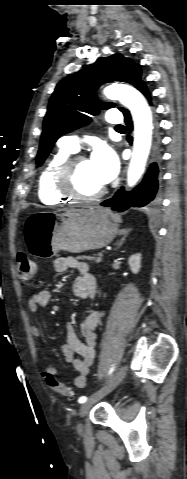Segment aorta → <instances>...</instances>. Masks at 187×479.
<instances>
[{
	"mask_svg": "<svg viewBox=\"0 0 187 479\" xmlns=\"http://www.w3.org/2000/svg\"><path fill=\"white\" fill-rule=\"evenodd\" d=\"M109 99L119 100L129 108L134 120V147L127 182L134 186L145 170L152 139V115L144 97L136 89L126 85H111L104 89Z\"/></svg>",
	"mask_w": 187,
	"mask_h": 479,
	"instance_id": "1",
	"label": "aorta"
}]
</instances>
